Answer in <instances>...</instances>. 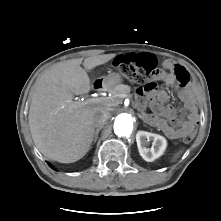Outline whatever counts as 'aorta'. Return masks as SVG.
<instances>
[{"mask_svg":"<svg viewBox=\"0 0 221 221\" xmlns=\"http://www.w3.org/2000/svg\"><path fill=\"white\" fill-rule=\"evenodd\" d=\"M134 126V118L131 114L121 113L115 118L114 132L118 136H129Z\"/></svg>","mask_w":221,"mask_h":221,"instance_id":"762f6f07","label":"aorta"}]
</instances>
